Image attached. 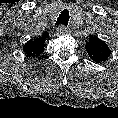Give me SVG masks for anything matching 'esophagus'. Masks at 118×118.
<instances>
[{
    "label": "esophagus",
    "instance_id": "esophagus-1",
    "mask_svg": "<svg viewBox=\"0 0 118 118\" xmlns=\"http://www.w3.org/2000/svg\"><path fill=\"white\" fill-rule=\"evenodd\" d=\"M68 32H69V30L67 28H65L63 25H61L57 28V33L60 35L67 34Z\"/></svg>",
    "mask_w": 118,
    "mask_h": 118
}]
</instances>
